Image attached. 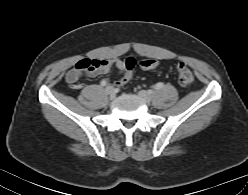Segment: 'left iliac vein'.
<instances>
[{
  "label": "left iliac vein",
  "instance_id": "obj_1",
  "mask_svg": "<svg viewBox=\"0 0 248 195\" xmlns=\"http://www.w3.org/2000/svg\"><path fill=\"white\" fill-rule=\"evenodd\" d=\"M138 95L147 103H150L152 100V96L148 91L141 90L138 92Z\"/></svg>",
  "mask_w": 248,
  "mask_h": 195
}]
</instances>
